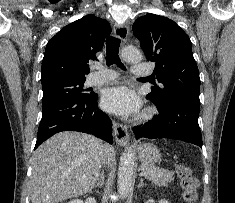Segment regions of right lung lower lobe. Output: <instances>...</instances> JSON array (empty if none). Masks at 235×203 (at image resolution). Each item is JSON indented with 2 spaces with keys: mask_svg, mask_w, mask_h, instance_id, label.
<instances>
[{
  "mask_svg": "<svg viewBox=\"0 0 235 203\" xmlns=\"http://www.w3.org/2000/svg\"><path fill=\"white\" fill-rule=\"evenodd\" d=\"M97 94L89 97H66L42 106L35 149L46 139L61 131L93 134L112 144V122L98 109Z\"/></svg>",
  "mask_w": 235,
  "mask_h": 203,
  "instance_id": "98d812e1",
  "label": "right lung lower lobe"
}]
</instances>
